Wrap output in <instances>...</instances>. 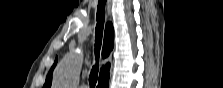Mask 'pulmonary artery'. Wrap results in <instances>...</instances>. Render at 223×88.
I'll return each instance as SVG.
<instances>
[{
    "instance_id": "pulmonary-artery-1",
    "label": "pulmonary artery",
    "mask_w": 223,
    "mask_h": 88,
    "mask_svg": "<svg viewBox=\"0 0 223 88\" xmlns=\"http://www.w3.org/2000/svg\"><path fill=\"white\" fill-rule=\"evenodd\" d=\"M81 88H88L87 86L83 85Z\"/></svg>"
}]
</instances>
